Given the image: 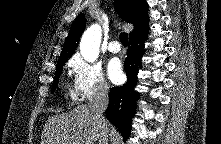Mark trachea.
<instances>
[{"label": "trachea", "instance_id": "1", "mask_svg": "<svg viewBox=\"0 0 221 144\" xmlns=\"http://www.w3.org/2000/svg\"><path fill=\"white\" fill-rule=\"evenodd\" d=\"M119 39H120L121 43L123 44V46H127V43H128V34H127L126 32L120 33Z\"/></svg>", "mask_w": 221, "mask_h": 144}]
</instances>
